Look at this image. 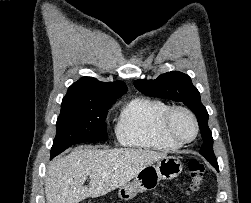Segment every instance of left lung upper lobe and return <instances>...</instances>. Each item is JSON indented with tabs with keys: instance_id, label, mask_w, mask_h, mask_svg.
Instances as JSON below:
<instances>
[{
	"instance_id": "obj_1",
	"label": "left lung upper lobe",
	"mask_w": 251,
	"mask_h": 203,
	"mask_svg": "<svg viewBox=\"0 0 251 203\" xmlns=\"http://www.w3.org/2000/svg\"><path fill=\"white\" fill-rule=\"evenodd\" d=\"M134 85L141 93L147 96L183 102L192 110L197 117L203 139L200 154L215 168H218L217 160L213 152L212 133L208 127L209 115L201 103L199 91L193 86L188 75L178 71H171L161 74L155 80H136Z\"/></svg>"
}]
</instances>
